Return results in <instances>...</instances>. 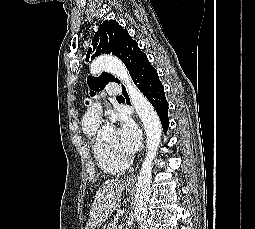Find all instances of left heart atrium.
I'll return each mask as SVG.
<instances>
[{
	"label": "left heart atrium",
	"mask_w": 255,
	"mask_h": 229,
	"mask_svg": "<svg viewBox=\"0 0 255 229\" xmlns=\"http://www.w3.org/2000/svg\"><path fill=\"white\" fill-rule=\"evenodd\" d=\"M118 133L120 148L128 154L136 152L141 143V132L136 123L126 117L120 118Z\"/></svg>",
	"instance_id": "left-heart-atrium-1"
}]
</instances>
